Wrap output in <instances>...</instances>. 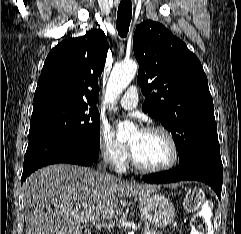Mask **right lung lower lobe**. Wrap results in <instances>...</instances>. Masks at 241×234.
I'll return each instance as SVG.
<instances>
[{
	"instance_id": "right-lung-lower-lobe-1",
	"label": "right lung lower lobe",
	"mask_w": 241,
	"mask_h": 234,
	"mask_svg": "<svg viewBox=\"0 0 241 234\" xmlns=\"http://www.w3.org/2000/svg\"><path fill=\"white\" fill-rule=\"evenodd\" d=\"M98 158L99 152L91 151L65 137L48 136L30 140L24 156L21 184L32 172L46 165L71 163L89 166Z\"/></svg>"
}]
</instances>
